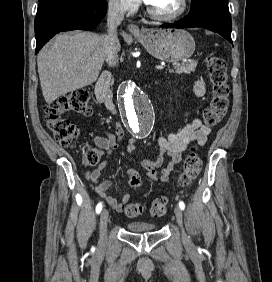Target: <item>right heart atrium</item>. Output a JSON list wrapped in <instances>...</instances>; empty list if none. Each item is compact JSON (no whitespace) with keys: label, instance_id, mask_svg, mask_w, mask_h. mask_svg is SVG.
Segmentation results:
<instances>
[{"label":"right heart atrium","instance_id":"d8ad5b80","mask_svg":"<svg viewBox=\"0 0 272 282\" xmlns=\"http://www.w3.org/2000/svg\"><path fill=\"white\" fill-rule=\"evenodd\" d=\"M110 11L117 15H124L134 11L137 3L134 0H108Z\"/></svg>","mask_w":272,"mask_h":282}]
</instances>
